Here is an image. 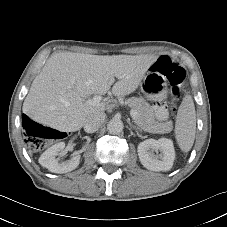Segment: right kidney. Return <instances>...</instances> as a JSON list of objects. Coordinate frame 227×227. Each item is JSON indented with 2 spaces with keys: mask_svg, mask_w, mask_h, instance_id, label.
I'll list each match as a JSON object with an SVG mask.
<instances>
[{
  "mask_svg": "<svg viewBox=\"0 0 227 227\" xmlns=\"http://www.w3.org/2000/svg\"><path fill=\"white\" fill-rule=\"evenodd\" d=\"M65 148L64 142H59L48 148L39 158V163L53 173H67L74 170L80 162V154L74 153L73 157L66 161L56 158Z\"/></svg>",
  "mask_w": 227,
  "mask_h": 227,
  "instance_id": "ca27d5eb",
  "label": "right kidney"
}]
</instances>
